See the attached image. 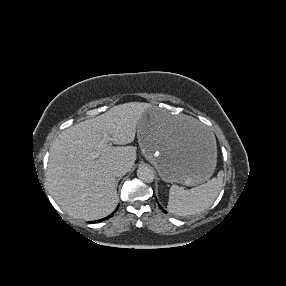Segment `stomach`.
Segmentation results:
<instances>
[{
	"label": "stomach",
	"instance_id": "0dacf381",
	"mask_svg": "<svg viewBox=\"0 0 286 286\" xmlns=\"http://www.w3.org/2000/svg\"><path fill=\"white\" fill-rule=\"evenodd\" d=\"M143 155L165 182L196 186L209 180L217 163L214 131L175 110H146L137 125Z\"/></svg>",
	"mask_w": 286,
	"mask_h": 286
}]
</instances>
